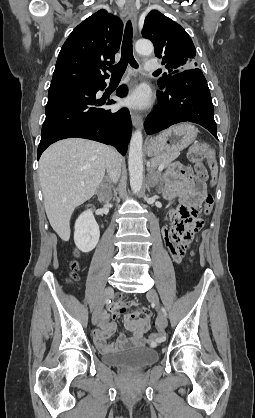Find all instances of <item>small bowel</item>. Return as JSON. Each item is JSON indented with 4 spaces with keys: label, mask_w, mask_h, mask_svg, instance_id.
I'll list each match as a JSON object with an SVG mask.
<instances>
[{
    "label": "small bowel",
    "mask_w": 255,
    "mask_h": 418,
    "mask_svg": "<svg viewBox=\"0 0 255 418\" xmlns=\"http://www.w3.org/2000/svg\"><path fill=\"white\" fill-rule=\"evenodd\" d=\"M206 195L205 184L191 170L183 165H175L167 174L165 197L168 200L178 199L179 205L170 212L172 225L162 229V235L167 248V255L172 256V263L179 265L186 260L187 249H192L194 237L198 236L197 228H173L184 219L191 209H198ZM135 303L122 302L120 299L111 304L101 316L99 328L94 331L93 339L101 351L115 352L130 346L142 344L144 333L149 329L151 312L145 307H138L133 312L128 310ZM123 316L125 328L133 335L131 338L120 334L115 343H108L107 339L115 332L114 321L119 315Z\"/></svg>",
    "instance_id": "obj_1"
}]
</instances>
